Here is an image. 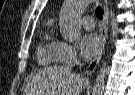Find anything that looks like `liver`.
Segmentation results:
<instances>
[{
  "label": "liver",
  "instance_id": "obj_1",
  "mask_svg": "<svg viewBox=\"0 0 135 95\" xmlns=\"http://www.w3.org/2000/svg\"><path fill=\"white\" fill-rule=\"evenodd\" d=\"M87 82L71 68L54 66L45 68L28 82L26 95H80Z\"/></svg>",
  "mask_w": 135,
  "mask_h": 95
}]
</instances>
